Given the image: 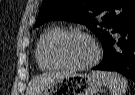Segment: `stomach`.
<instances>
[{
  "mask_svg": "<svg viewBox=\"0 0 135 95\" xmlns=\"http://www.w3.org/2000/svg\"><path fill=\"white\" fill-rule=\"evenodd\" d=\"M102 85L94 74L70 73L47 87L41 95H95Z\"/></svg>",
  "mask_w": 135,
  "mask_h": 95,
  "instance_id": "stomach-1",
  "label": "stomach"
}]
</instances>
